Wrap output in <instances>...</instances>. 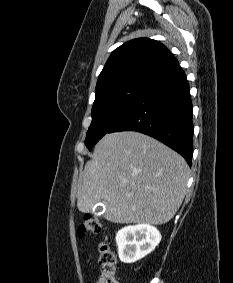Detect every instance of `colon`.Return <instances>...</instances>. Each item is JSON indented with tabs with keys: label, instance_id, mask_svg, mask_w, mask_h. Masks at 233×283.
Segmentation results:
<instances>
[{
	"label": "colon",
	"instance_id": "5ec220e1",
	"mask_svg": "<svg viewBox=\"0 0 233 283\" xmlns=\"http://www.w3.org/2000/svg\"><path fill=\"white\" fill-rule=\"evenodd\" d=\"M101 231L99 219L93 215L87 214L78 226V234L81 237L88 235H97ZM99 266L100 274L94 283H118L116 278L117 257L111 248L102 244L99 248Z\"/></svg>",
	"mask_w": 233,
	"mask_h": 283
}]
</instances>
